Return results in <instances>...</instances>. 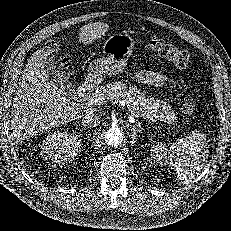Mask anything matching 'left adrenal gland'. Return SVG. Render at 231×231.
I'll use <instances>...</instances> for the list:
<instances>
[{"mask_svg":"<svg viewBox=\"0 0 231 231\" xmlns=\"http://www.w3.org/2000/svg\"><path fill=\"white\" fill-rule=\"evenodd\" d=\"M139 125H140V123H138V127H139ZM127 127L132 132V139L134 141L136 139L138 129L136 126H133V125H127Z\"/></svg>","mask_w":231,"mask_h":231,"instance_id":"1","label":"left adrenal gland"}]
</instances>
